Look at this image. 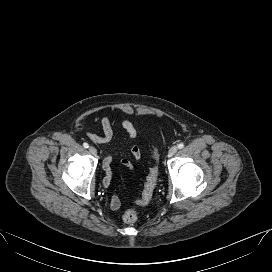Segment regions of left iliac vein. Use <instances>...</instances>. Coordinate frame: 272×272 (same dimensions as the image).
<instances>
[{
	"instance_id": "left-iliac-vein-1",
	"label": "left iliac vein",
	"mask_w": 272,
	"mask_h": 272,
	"mask_svg": "<svg viewBox=\"0 0 272 272\" xmlns=\"http://www.w3.org/2000/svg\"><path fill=\"white\" fill-rule=\"evenodd\" d=\"M178 151V147L177 146H172L170 149H169V156H173L174 154H176Z\"/></svg>"
}]
</instances>
